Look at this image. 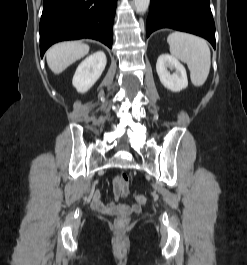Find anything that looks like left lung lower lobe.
I'll return each instance as SVG.
<instances>
[{
  "mask_svg": "<svg viewBox=\"0 0 247 265\" xmlns=\"http://www.w3.org/2000/svg\"><path fill=\"white\" fill-rule=\"evenodd\" d=\"M161 28L201 36L215 48V24L209 0H151L146 22L147 37Z\"/></svg>",
  "mask_w": 247,
  "mask_h": 265,
  "instance_id": "left-lung-lower-lobe-1",
  "label": "left lung lower lobe"
}]
</instances>
